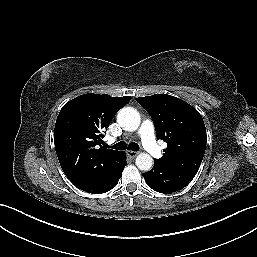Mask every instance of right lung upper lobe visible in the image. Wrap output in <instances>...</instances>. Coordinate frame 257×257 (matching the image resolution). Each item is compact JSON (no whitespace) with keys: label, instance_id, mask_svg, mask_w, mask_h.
<instances>
[{"label":"right lung upper lobe","instance_id":"right-lung-upper-lobe-1","mask_svg":"<svg viewBox=\"0 0 257 257\" xmlns=\"http://www.w3.org/2000/svg\"><path fill=\"white\" fill-rule=\"evenodd\" d=\"M130 100V96L88 93L62 107L55 124L54 144L60 165L74 185L99 179L115 166L120 151L100 145L102 132Z\"/></svg>","mask_w":257,"mask_h":257}]
</instances>
